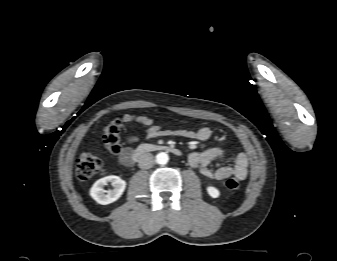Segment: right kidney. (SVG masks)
I'll list each match as a JSON object with an SVG mask.
<instances>
[{"label": "right kidney", "mask_w": 337, "mask_h": 261, "mask_svg": "<svg viewBox=\"0 0 337 261\" xmlns=\"http://www.w3.org/2000/svg\"><path fill=\"white\" fill-rule=\"evenodd\" d=\"M111 183L113 189L105 191L104 186ZM126 188V182L118 176H106L97 180L90 189V196L99 204L107 205L118 200ZM107 192V193H105Z\"/></svg>", "instance_id": "ca27d5eb"}]
</instances>
